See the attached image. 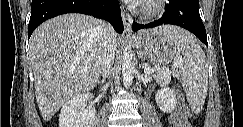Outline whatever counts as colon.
<instances>
[{
	"label": "colon",
	"mask_w": 243,
	"mask_h": 127,
	"mask_svg": "<svg viewBox=\"0 0 243 127\" xmlns=\"http://www.w3.org/2000/svg\"><path fill=\"white\" fill-rule=\"evenodd\" d=\"M190 110L183 104L178 105L171 117L173 127H190Z\"/></svg>",
	"instance_id": "5ec220e1"
}]
</instances>
